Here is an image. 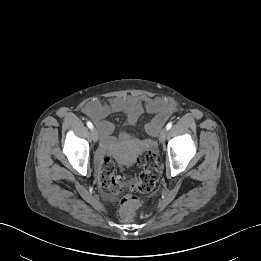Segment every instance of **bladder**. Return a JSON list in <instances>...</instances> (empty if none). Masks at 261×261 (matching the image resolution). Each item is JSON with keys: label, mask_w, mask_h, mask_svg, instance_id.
Here are the masks:
<instances>
[{"label": "bladder", "mask_w": 261, "mask_h": 261, "mask_svg": "<svg viewBox=\"0 0 261 261\" xmlns=\"http://www.w3.org/2000/svg\"><path fill=\"white\" fill-rule=\"evenodd\" d=\"M127 139H128L127 137L121 138L119 140V143ZM136 154H137L136 150L133 151L131 154L127 155L126 151L121 146L116 148V157L118 161L122 164H129L131 160L136 156Z\"/></svg>", "instance_id": "obj_1"}]
</instances>
